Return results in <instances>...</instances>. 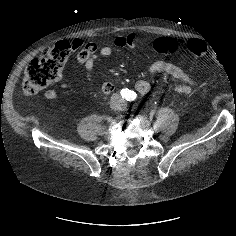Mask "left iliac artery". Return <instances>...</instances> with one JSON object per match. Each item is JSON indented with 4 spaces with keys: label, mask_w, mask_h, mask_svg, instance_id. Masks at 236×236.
I'll list each match as a JSON object with an SVG mask.
<instances>
[{
    "label": "left iliac artery",
    "mask_w": 236,
    "mask_h": 236,
    "mask_svg": "<svg viewBox=\"0 0 236 236\" xmlns=\"http://www.w3.org/2000/svg\"><path fill=\"white\" fill-rule=\"evenodd\" d=\"M137 97V94L134 92V91H131L130 92V95H129V100H135Z\"/></svg>",
    "instance_id": "1"
}]
</instances>
